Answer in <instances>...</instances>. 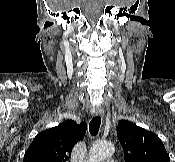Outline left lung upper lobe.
Instances as JSON below:
<instances>
[{"label": "left lung upper lobe", "mask_w": 175, "mask_h": 162, "mask_svg": "<svg viewBox=\"0 0 175 162\" xmlns=\"http://www.w3.org/2000/svg\"><path fill=\"white\" fill-rule=\"evenodd\" d=\"M117 137L126 162H170L161 139L128 120L118 122Z\"/></svg>", "instance_id": "1"}]
</instances>
